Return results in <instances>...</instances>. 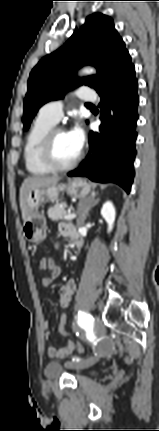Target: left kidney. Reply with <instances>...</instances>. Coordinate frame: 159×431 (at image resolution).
<instances>
[{"instance_id":"obj_1","label":"left kidney","mask_w":159,"mask_h":431,"mask_svg":"<svg viewBox=\"0 0 159 431\" xmlns=\"http://www.w3.org/2000/svg\"><path fill=\"white\" fill-rule=\"evenodd\" d=\"M101 215L105 219V221L108 224V232H110L113 228L116 211L111 201H107L102 209H101Z\"/></svg>"}]
</instances>
